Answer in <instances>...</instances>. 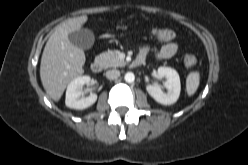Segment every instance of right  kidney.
<instances>
[{
  "instance_id": "right-kidney-1",
  "label": "right kidney",
  "mask_w": 248,
  "mask_h": 165,
  "mask_svg": "<svg viewBox=\"0 0 248 165\" xmlns=\"http://www.w3.org/2000/svg\"><path fill=\"white\" fill-rule=\"evenodd\" d=\"M90 76H79L71 81L66 90L65 104L72 109H86L93 105L97 100L96 94H90L88 97L81 98L82 88L85 84H90Z\"/></svg>"
}]
</instances>
